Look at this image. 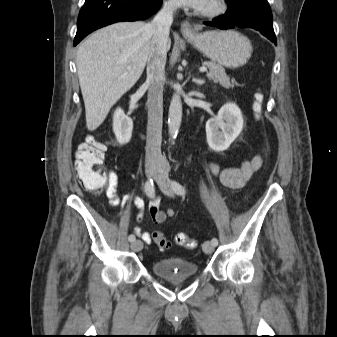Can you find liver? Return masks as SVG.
<instances>
[{
  "instance_id": "6515ba94",
  "label": "liver",
  "mask_w": 337,
  "mask_h": 337,
  "mask_svg": "<svg viewBox=\"0 0 337 337\" xmlns=\"http://www.w3.org/2000/svg\"><path fill=\"white\" fill-rule=\"evenodd\" d=\"M151 44L152 33L139 21L107 26L79 46L76 64L88 130L97 129L111 107L138 81ZM170 44L168 40V49Z\"/></svg>"
}]
</instances>
